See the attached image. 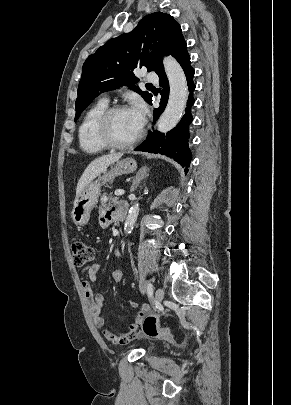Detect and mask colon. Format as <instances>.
Masks as SVG:
<instances>
[{"mask_svg":"<svg viewBox=\"0 0 291 405\" xmlns=\"http://www.w3.org/2000/svg\"><path fill=\"white\" fill-rule=\"evenodd\" d=\"M71 252L73 264L76 267H83L94 259L93 247L81 240L72 242ZM111 278L115 283H120L123 279L122 270H113L111 272ZM141 329L150 337L162 339L168 342L174 341V336L170 329L160 326L158 317L156 315L146 316L141 323Z\"/></svg>","mask_w":291,"mask_h":405,"instance_id":"colon-1","label":"colon"}]
</instances>
